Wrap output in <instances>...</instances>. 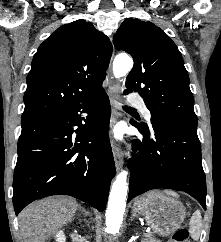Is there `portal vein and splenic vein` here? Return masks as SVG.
I'll list each match as a JSON object with an SVG mask.
<instances>
[{
  "label": "portal vein and splenic vein",
  "mask_w": 221,
  "mask_h": 242,
  "mask_svg": "<svg viewBox=\"0 0 221 242\" xmlns=\"http://www.w3.org/2000/svg\"><path fill=\"white\" fill-rule=\"evenodd\" d=\"M145 232H146V233H144L143 236H145V237H149V236H151V231H150L149 228H147V229L145 230Z\"/></svg>",
  "instance_id": "obj_1"
}]
</instances>
